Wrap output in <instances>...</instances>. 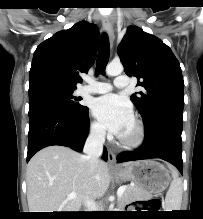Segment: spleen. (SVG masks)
Returning a JSON list of instances; mask_svg holds the SVG:
<instances>
[{
	"mask_svg": "<svg viewBox=\"0 0 203 219\" xmlns=\"http://www.w3.org/2000/svg\"><path fill=\"white\" fill-rule=\"evenodd\" d=\"M169 169L172 172L173 180L165 198L166 211L180 210L182 202V181L178 176V172L171 166Z\"/></svg>",
	"mask_w": 203,
	"mask_h": 219,
	"instance_id": "1",
	"label": "spleen"
}]
</instances>
